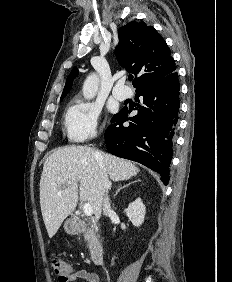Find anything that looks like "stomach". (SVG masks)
<instances>
[{"label": "stomach", "instance_id": "1", "mask_svg": "<svg viewBox=\"0 0 232 282\" xmlns=\"http://www.w3.org/2000/svg\"><path fill=\"white\" fill-rule=\"evenodd\" d=\"M78 224L76 222L75 219L73 218H70V219H67L64 223V230L68 233V234H75L78 230Z\"/></svg>", "mask_w": 232, "mask_h": 282}]
</instances>
